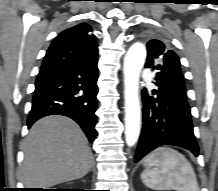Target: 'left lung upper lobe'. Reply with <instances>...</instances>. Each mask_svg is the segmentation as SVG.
I'll use <instances>...</instances> for the list:
<instances>
[{"label": "left lung upper lobe", "mask_w": 218, "mask_h": 191, "mask_svg": "<svg viewBox=\"0 0 218 191\" xmlns=\"http://www.w3.org/2000/svg\"><path fill=\"white\" fill-rule=\"evenodd\" d=\"M147 50L146 65L157 71L156 75L160 76L163 89L181 91L186 94L184 76L176 53L156 39L147 43Z\"/></svg>", "instance_id": "1"}]
</instances>
